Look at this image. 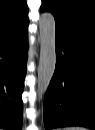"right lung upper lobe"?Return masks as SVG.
<instances>
[{
	"mask_svg": "<svg viewBox=\"0 0 95 130\" xmlns=\"http://www.w3.org/2000/svg\"><path fill=\"white\" fill-rule=\"evenodd\" d=\"M28 23L26 0H0V42L25 32Z\"/></svg>",
	"mask_w": 95,
	"mask_h": 130,
	"instance_id": "cb5924a9",
	"label": "right lung upper lobe"
}]
</instances>
